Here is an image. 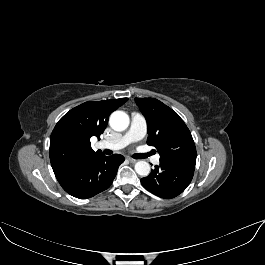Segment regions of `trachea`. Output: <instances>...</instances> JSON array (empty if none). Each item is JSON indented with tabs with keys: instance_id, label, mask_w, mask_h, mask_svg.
Wrapping results in <instances>:
<instances>
[{
	"instance_id": "obj_1",
	"label": "trachea",
	"mask_w": 265,
	"mask_h": 265,
	"mask_svg": "<svg viewBox=\"0 0 265 265\" xmlns=\"http://www.w3.org/2000/svg\"><path fill=\"white\" fill-rule=\"evenodd\" d=\"M147 156H149V154H134L133 158H135V159H143V158H146Z\"/></svg>"
}]
</instances>
